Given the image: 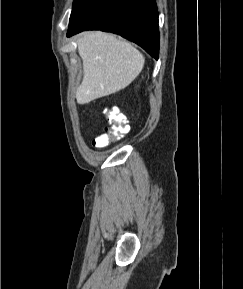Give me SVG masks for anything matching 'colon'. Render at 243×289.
I'll use <instances>...</instances> for the list:
<instances>
[{"label":"colon","mask_w":243,"mask_h":289,"mask_svg":"<svg viewBox=\"0 0 243 289\" xmlns=\"http://www.w3.org/2000/svg\"><path fill=\"white\" fill-rule=\"evenodd\" d=\"M105 119L109 126L105 132L93 140V145L97 148L108 146L111 142L123 137L129 131L126 116L117 107H107L104 109Z\"/></svg>","instance_id":"5ec220e1"}]
</instances>
